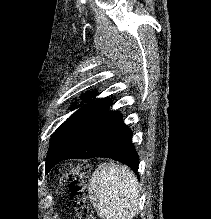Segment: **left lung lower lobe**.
<instances>
[{"label": "left lung lower lobe", "instance_id": "obj_1", "mask_svg": "<svg viewBox=\"0 0 211 219\" xmlns=\"http://www.w3.org/2000/svg\"><path fill=\"white\" fill-rule=\"evenodd\" d=\"M110 105L111 100H100L76 121L46 161V172L66 159L105 157L138 173L139 157L131 141L132 131L120 113L108 110Z\"/></svg>", "mask_w": 211, "mask_h": 219}]
</instances>
